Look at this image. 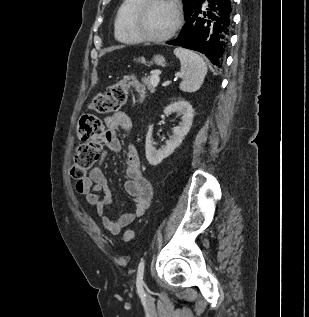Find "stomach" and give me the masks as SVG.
<instances>
[{"label":"stomach","mask_w":309,"mask_h":317,"mask_svg":"<svg viewBox=\"0 0 309 317\" xmlns=\"http://www.w3.org/2000/svg\"><path fill=\"white\" fill-rule=\"evenodd\" d=\"M138 62L144 63V57H140L137 59ZM153 62L157 65H163L165 63V58L162 55H155L153 57Z\"/></svg>","instance_id":"1"}]
</instances>
